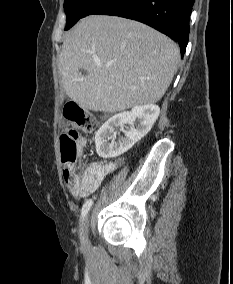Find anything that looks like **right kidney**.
Instances as JSON below:
<instances>
[{"instance_id":"1","label":"right kidney","mask_w":233,"mask_h":284,"mask_svg":"<svg viewBox=\"0 0 233 284\" xmlns=\"http://www.w3.org/2000/svg\"><path fill=\"white\" fill-rule=\"evenodd\" d=\"M159 114L160 108L150 104L135 106L129 112L112 116L95 135L97 154L102 158H112L127 152L151 130ZM124 124H129L130 129L124 131L125 137L116 140L117 131Z\"/></svg>"}]
</instances>
